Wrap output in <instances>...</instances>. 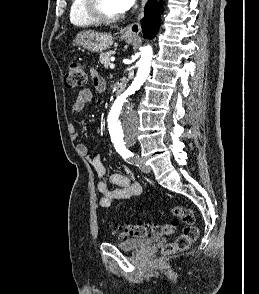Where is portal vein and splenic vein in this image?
Returning a JSON list of instances; mask_svg holds the SVG:
<instances>
[{"mask_svg": "<svg viewBox=\"0 0 259 294\" xmlns=\"http://www.w3.org/2000/svg\"><path fill=\"white\" fill-rule=\"evenodd\" d=\"M109 66L111 69H114V67H115V65L113 63H111Z\"/></svg>", "mask_w": 259, "mask_h": 294, "instance_id": "portal-vein-and-splenic-vein-1", "label": "portal vein and splenic vein"}]
</instances>
